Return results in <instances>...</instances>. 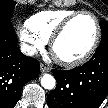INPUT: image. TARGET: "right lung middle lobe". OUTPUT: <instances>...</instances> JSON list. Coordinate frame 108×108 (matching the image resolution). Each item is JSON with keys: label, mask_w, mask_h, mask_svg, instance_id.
<instances>
[{"label": "right lung middle lobe", "mask_w": 108, "mask_h": 108, "mask_svg": "<svg viewBox=\"0 0 108 108\" xmlns=\"http://www.w3.org/2000/svg\"><path fill=\"white\" fill-rule=\"evenodd\" d=\"M16 2L12 0H0V23L11 24V16L13 14Z\"/></svg>", "instance_id": "dd1d6c3e"}]
</instances>
